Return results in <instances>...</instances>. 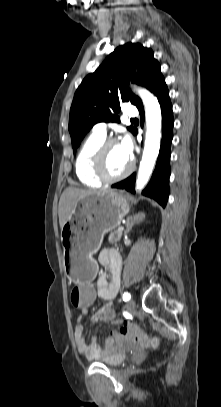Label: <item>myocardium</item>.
Wrapping results in <instances>:
<instances>
[{
    "label": "myocardium",
    "instance_id": "myocardium-1",
    "mask_svg": "<svg viewBox=\"0 0 221 407\" xmlns=\"http://www.w3.org/2000/svg\"><path fill=\"white\" fill-rule=\"evenodd\" d=\"M119 143V141L116 138H107L105 139L99 148L97 149L96 153L94 154L93 160H92V172L94 176L99 179L101 182L105 183H113L120 181L126 177H128L132 171L134 170L135 163L134 160H130V164L127 167L125 171H123L121 174L112 176L107 174L104 166V161H105V155L108 150V148L113 145Z\"/></svg>",
    "mask_w": 221,
    "mask_h": 407
}]
</instances>
